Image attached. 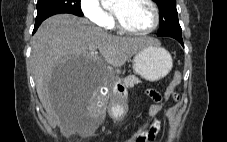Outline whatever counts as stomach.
<instances>
[{"label": "stomach", "instance_id": "obj_1", "mask_svg": "<svg viewBox=\"0 0 227 142\" xmlns=\"http://www.w3.org/2000/svg\"><path fill=\"white\" fill-rule=\"evenodd\" d=\"M132 64L135 74L147 81L155 82L170 72L173 61L171 54L160 44L150 43L134 54ZM126 113V100L120 97V102L111 107L110 114L113 118L120 119Z\"/></svg>", "mask_w": 227, "mask_h": 142}]
</instances>
